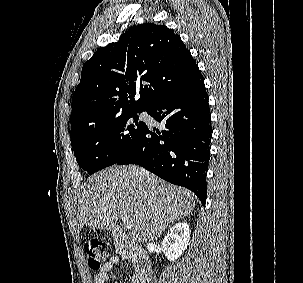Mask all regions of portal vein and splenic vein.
I'll return each instance as SVG.
<instances>
[{"label":"portal vein and splenic vein","instance_id":"1","mask_svg":"<svg viewBox=\"0 0 303 283\" xmlns=\"http://www.w3.org/2000/svg\"><path fill=\"white\" fill-rule=\"evenodd\" d=\"M121 219H122V222H123L124 225L130 226V224H131V219H130L129 216H123Z\"/></svg>","mask_w":303,"mask_h":283}]
</instances>
